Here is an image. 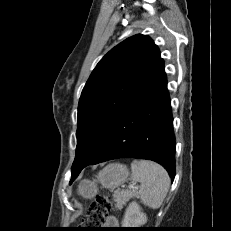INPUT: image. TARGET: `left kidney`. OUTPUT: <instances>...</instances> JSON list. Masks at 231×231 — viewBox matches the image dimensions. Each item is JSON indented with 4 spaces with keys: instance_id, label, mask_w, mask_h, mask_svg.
Wrapping results in <instances>:
<instances>
[{
    "instance_id": "1",
    "label": "left kidney",
    "mask_w": 231,
    "mask_h": 231,
    "mask_svg": "<svg viewBox=\"0 0 231 231\" xmlns=\"http://www.w3.org/2000/svg\"><path fill=\"white\" fill-rule=\"evenodd\" d=\"M147 222L146 215L136 202H132L126 209L122 226L124 228H138Z\"/></svg>"
}]
</instances>
